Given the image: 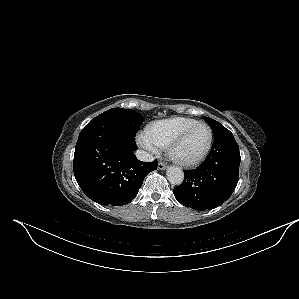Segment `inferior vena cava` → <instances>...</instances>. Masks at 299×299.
I'll return each mask as SVG.
<instances>
[{
	"label": "inferior vena cava",
	"mask_w": 299,
	"mask_h": 299,
	"mask_svg": "<svg viewBox=\"0 0 299 299\" xmlns=\"http://www.w3.org/2000/svg\"><path fill=\"white\" fill-rule=\"evenodd\" d=\"M136 157L140 161H145V162H152L154 160V157L152 154L144 151V150H137L136 151Z\"/></svg>",
	"instance_id": "1"
}]
</instances>
